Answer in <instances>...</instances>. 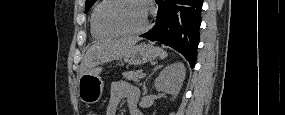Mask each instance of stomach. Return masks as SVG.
<instances>
[{"label":"stomach","instance_id":"obj_1","mask_svg":"<svg viewBox=\"0 0 285 115\" xmlns=\"http://www.w3.org/2000/svg\"><path fill=\"white\" fill-rule=\"evenodd\" d=\"M159 55L155 47L141 43L135 45L128 53L123 56L124 62L138 66L154 60ZM102 68L96 66L89 72L83 74L78 82V95L82 102L86 104L97 103L103 93L104 82L100 77Z\"/></svg>","mask_w":285,"mask_h":115}]
</instances>
